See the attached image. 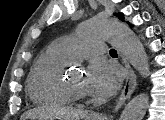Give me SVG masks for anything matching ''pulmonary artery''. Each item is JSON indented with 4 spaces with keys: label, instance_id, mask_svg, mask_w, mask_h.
I'll return each instance as SVG.
<instances>
[{
    "label": "pulmonary artery",
    "instance_id": "e3ab8cb5",
    "mask_svg": "<svg viewBox=\"0 0 165 120\" xmlns=\"http://www.w3.org/2000/svg\"><path fill=\"white\" fill-rule=\"evenodd\" d=\"M53 46L68 58L87 57L105 52V47L102 42L78 39L69 36L57 39L53 43Z\"/></svg>",
    "mask_w": 165,
    "mask_h": 120
}]
</instances>
